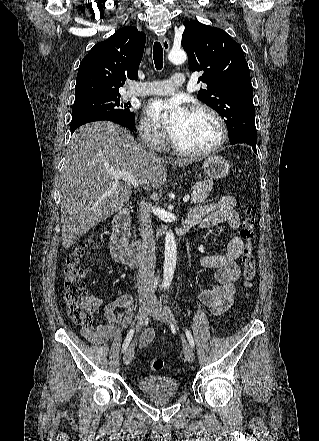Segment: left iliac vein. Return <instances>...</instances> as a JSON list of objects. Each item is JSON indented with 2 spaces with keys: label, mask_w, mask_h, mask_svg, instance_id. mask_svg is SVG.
Listing matches in <instances>:
<instances>
[{
  "label": "left iliac vein",
  "mask_w": 319,
  "mask_h": 441,
  "mask_svg": "<svg viewBox=\"0 0 319 441\" xmlns=\"http://www.w3.org/2000/svg\"><path fill=\"white\" fill-rule=\"evenodd\" d=\"M149 313L153 317H155L156 319L162 322L173 324L174 326L178 327V324L175 320L173 313L170 311V309L164 307L157 299H153ZM181 338L183 341V350H184L185 358L188 360V362L192 363L195 359L193 349L186 341L182 333H181Z\"/></svg>",
  "instance_id": "left-iliac-vein-1"
}]
</instances>
